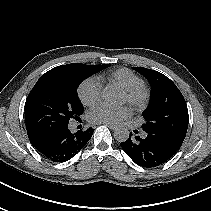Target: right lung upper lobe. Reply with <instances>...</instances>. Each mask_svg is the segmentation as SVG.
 Masks as SVG:
<instances>
[{"label":"right lung upper lobe","mask_w":211,"mask_h":211,"mask_svg":"<svg viewBox=\"0 0 211 211\" xmlns=\"http://www.w3.org/2000/svg\"><path fill=\"white\" fill-rule=\"evenodd\" d=\"M79 66L80 63H72L67 65L57 66L46 72L44 75H42L38 81L66 78L70 76Z\"/></svg>","instance_id":"cb5924a9"}]
</instances>
